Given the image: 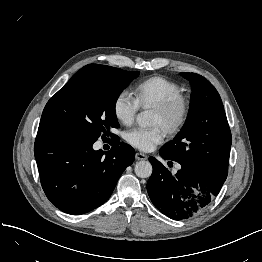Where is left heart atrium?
Wrapping results in <instances>:
<instances>
[{
    "label": "left heart atrium",
    "mask_w": 262,
    "mask_h": 262,
    "mask_svg": "<svg viewBox=\"0 0 262 262\" xmlns=\"http://www.w3.org/2000/svg\"><path fill=\"white\" fill-rule=\"evenodd\" d=\"M166 137V131L162 124L150 128L135 127L125 133L126 141L133 147L142 151H151Z\"/></svg>",
    "instance_id": "left-heart-atrium-1"
}]
</instances>
